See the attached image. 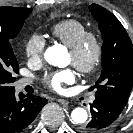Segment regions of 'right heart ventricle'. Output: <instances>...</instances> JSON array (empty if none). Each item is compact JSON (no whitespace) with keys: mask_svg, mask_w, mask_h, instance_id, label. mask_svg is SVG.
<instances>
[{"mask_svg":"<svg viewBox=\"0 0 133 133\" xmlns=\"http://www.w3.org/2000/svg\"><path fill=\"white\" fill-rule=\"evenodd\" d=\"M85 31L86 25L77 19L62 20L51 28L52 36L67 47L73 45Z\"/></svg>","mask_w":133,"mask_h":133,"instance_id":"e07e8e85","label":"right heart ventricle"}]
</instances>
